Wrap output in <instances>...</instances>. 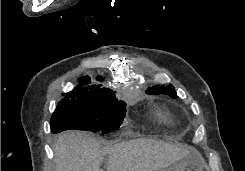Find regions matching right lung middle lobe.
Instances as JSON below:
<instances>
[{"label": "right lung middle lobe", "instance_id": "right-lung-middle-lobe-1", "mask_svg": "<svg viewBox=\"0 0 245 171\" xmlns=\"http://www.w3.org/2000/svg\"><path fill=\"white\" fill-rule=\"evenodd\" d=\"M126 105L116 98L59 102L51 117L52 133L67 129L110 133L120 127Z\"/></svg>", "mask_w": 245, "mask_h": 171}]
</instances>
